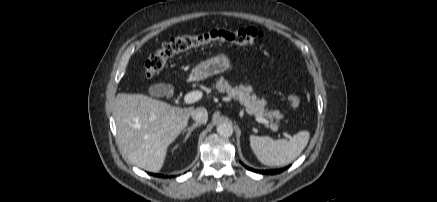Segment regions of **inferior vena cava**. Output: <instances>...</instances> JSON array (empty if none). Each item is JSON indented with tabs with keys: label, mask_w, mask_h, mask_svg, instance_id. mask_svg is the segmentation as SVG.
Listing matches in <instances>:
<instances>
[{
	"label": "inferior vena cava",
	"mask_w": 437,
	"mask_h": 202,
	"mask_svg": "<svg viewBox=\"0 0 437 202\" xmlns=\"http://www.w3.org/2000/svg\"><path fill=\"white\" fill-rule=\"evenodd\" d=\"M191 117L198 123L204 124L208 120V113L204 107H199L191 112Z\"/></svg>",
	"instance_id": "602c4592"
}]
</instances>
